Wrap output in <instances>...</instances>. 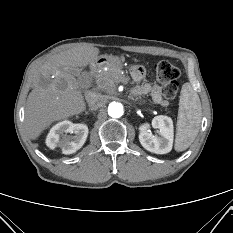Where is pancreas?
I'll return each mask as SVG.
<instances>
[{
  "label": "pancreas",
  "instance_id": "pancreas-1",
  "mask_svg": "<svg viewBox=\"0 0 233 233\" xmlns=\"http://www.w3.org/2000/svg\"><path fill=\"white\" fill-rule=\"evenodd\" d=\"M100 88L104 91H111L116 83L125 82L127 79L118 67H108L107 71H101L96 75Z\"/></svg>",
  "mask_w": 233,
  "mask_h": 233
}]
</instances>
